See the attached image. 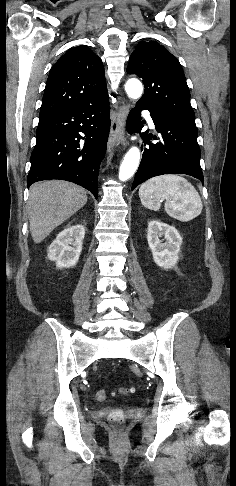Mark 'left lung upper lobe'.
Segmentation results:
<instances>
[{"mask_svg":"<svg viewBox=\"0 0 236 486\" xmlns=\"http://www.w3.org/2000/svg\"><path fill=\"white\" fill-rule=\"evenodd\" d=\"M127 72L143 79L145 93L139 102L155 106L173 120L196 126L183 69L165 47L154 41L139 42Z\"/></svg>","mask_w":236,"mask_h":486,"instance_id":"left-lung-upper-lobe-1","label":"left lung upper lobe"}]
</instances>
